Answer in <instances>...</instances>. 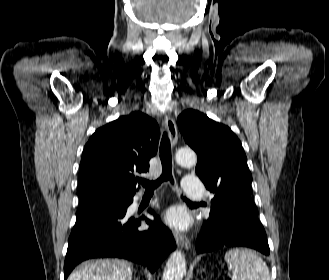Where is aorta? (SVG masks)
Here are the masks:
<instances>
[{"label": "aorta", "mask_w": 329, "mask_h": 280, "mask_svg": "<svg viewBox=\"0 0 329 280\" xmlns=\"http://www.w3.org/2000/svg\"><path fill=\"white\" fill-rule=\"evenodd\" d=\"M176 161L179 165L190 167L196 164V154L189 149H179L176 152ZM186 273V262L183 253L174 251L166 263L162 280H182Z\"/></svg>", "instance_id": "obj_1"}]
</instances>
